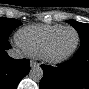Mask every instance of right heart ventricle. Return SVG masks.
<instances>
[{"mask_svg": "<svg viewBox=\"0 0 89 89\" xmlns=\"http://www.w3.org/2000/svg\"><path fill=\"white\" fill-rule=\"evenodd\" d=\"M62 27L60 24L28 25L17 32L16 38L28 55L40 57L46 40Z\"/></svg>", "mask_w": 89, "mask_h": 89, "instance_id": "1", "label": "right heart ventricle"}]
</instances>
